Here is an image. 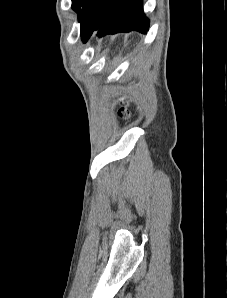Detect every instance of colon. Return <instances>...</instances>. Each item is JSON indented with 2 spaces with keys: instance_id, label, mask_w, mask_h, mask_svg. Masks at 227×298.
<instances>
[{
  "instance_id": "obj_1",
  "label": "colon",
  "mask_w": 227,
  "mask_h": 298,
  "mask_svg": "<svg viewBox=\"0 0 227 298\" xmlns=\"http://www.w3.org/2000/svg\"><path fill=\"white\" fill-rule=\"evenodd\" d=\"M118 117L121 120H129L132 117V114L127 103H122L120 109L118 110Z\"/></svg>"
}]
</instances>
